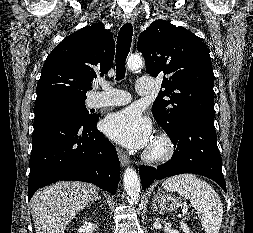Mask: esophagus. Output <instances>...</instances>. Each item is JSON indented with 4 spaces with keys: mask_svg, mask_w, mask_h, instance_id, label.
Instances as JSON below:
<instances>
[{
    "mask_svg": "<svg viewBox=\"0 0 253 233\" xmlns=\"http://www.w3.org/2000/svg\"><path fill=\"white\" fill-rule=\"evenodd\" d=\"M134 21H135V17L132 14H129L124 18L125 23H132L133 24ZM117 152H118V156H119V160H120L121 165L123 167L127 166L130 162L129 156L127 155V153L120 148L117 149Z\"/></svg>",
    "mask_w": 253,
    "mask_h": 233,
    "instance_id": "obj_1",
    "label": "esophagus"
}]
</instances>
